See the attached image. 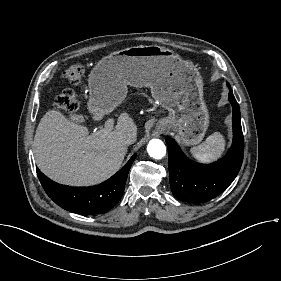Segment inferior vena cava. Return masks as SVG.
Wrapping results in <instances>:
<instances>
[{
	"label": "inferior vena cava",
	"instance_id": "602c4592",
	"mask_svg": "<svg viewBox=\"0 0 281 281\" xmlns=\"http://www.w3.org/2000/svg\"><path fill=\"white\" fill-rule=\"evenodd\" d=\"M136 137L137 136L135 132L123 133L119 135L118 141L124 145H130L136 141Z\"/></svg>",
	"mask_w": 281,
	"mask_h": 281
}]
</instances>
